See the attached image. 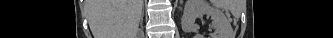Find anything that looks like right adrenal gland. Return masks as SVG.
Wrapping results in <instances>:
<instances>
[{
  "mask_svg": "<svg viewBox=\"0 0 333 38\" xmlns=\"http://www.w3.org/2000/svg\"><path fill=\"white\" fill-rule=\"evenodd\" d=\"M143 17H144V9H143V11L141 13V25H142V22H143Z\"/></svg>",
  "mask_w": 333,
  "mask_h": 38,
  "instance_id": "obj_1",
  "label": "right adrenal gland"
}]
</instances>
